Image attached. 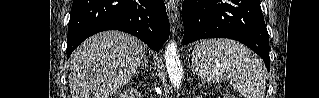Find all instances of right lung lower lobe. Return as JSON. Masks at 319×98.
Returning <instances> with one entry per match:
<instances>
[{"instance_id": "obj_1", "label": "right lung lower lobe", "mask_w": 319, "mask_h": 98, "mask_svg": "<svg viewBox=\"0 0 319 98\" xmlns=\"http://www.w3.org/2000/svg\"><path fill=\"white\" fill-rule=\"evenodd\" d=\"M104 30L127 32L157 51L169 38L165 4L163 0H74L67 58L82 41Z\"/></svg>"}]
</instances>
